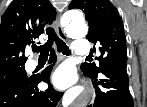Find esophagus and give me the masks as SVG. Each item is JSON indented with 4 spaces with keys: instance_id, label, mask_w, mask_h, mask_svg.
<instances>
[{
    "instance_id": "esophagus-1",
    "label": "esophagus",
    "mask_w": 147,
    "mask_h": 107,
    "mask_svg": "<svg viewBox=\"0 0 147 107\" xmlns=\"http://www.w3.org/2000/svg\"><path fill=\"white\" fill-rule=\"evenodd\" d=\"M55 29H56V32L58 34V36L65 40V41H68V37L66 36L64 30H63V26L61 25V22H60V18H57L55 20ZM87 89L89 90L90 94H91V99L92 101L94 100V96H93V90L88 86Z\"/></svg>"
}]
</instances>
